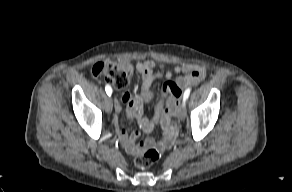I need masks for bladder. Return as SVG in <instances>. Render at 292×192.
<instances>
[{"label":"bladder","mask_w":292,"mask_h":192,"mask_svg":"<svg viewBox=\"0 0 292 192\" xmlns=\"http://www.w3.org/2000/svg\"><path fill=\"white\" fill-rule=\"evenodd\" d=\"M143 100L145 101V102H148V101H150L151 100V98H152V92L149 90V91H147V92H145L144 94H143Z\"/></svg>","instance_id":"1"}]
</instances>
